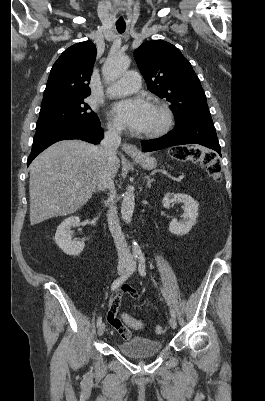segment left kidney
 <instances>
[{
    "label": "left kidney",
    "mask_w": 265,
    "mask_h": 401,
    "mask_svg": "<svg viewBox=\"0 0 265 401\" xmlns=\"http://www.w3.org/2000/svg\"><path fill=\"white\" fill-rule=\"evenodd\" d=\"M163 207L169 209L171 203H184V213L182 215L184 221L178 223L177 219H172L169 225L170 233L173 235H187L194 227L198 217V203L194 201L189 194H182V192H166L162 198Z\"/></svg>",
    "instance_id": "5707ae66"
}]
</instances>
